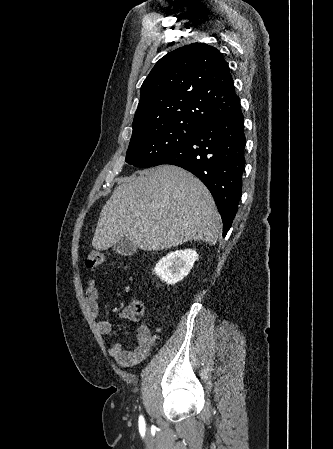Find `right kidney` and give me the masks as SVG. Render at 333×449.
<instances>
[{
	"label": "right kidney",
	"instance_id": "right-kidney-1",
	"mask_svg": "<svg viewBox=\"0 0 333 449\" xmlns=\"http://www.w3.org/2000/svg\"><path fill=\"white\" fill-rule=\"evenodd\" d=\"M199 255L196 250H176L158 261L153 272L166 284L174 285L187 276Z\"/></svg>",
	"mask_w": 333,
	"mask_h": 449
}]
</instances>
